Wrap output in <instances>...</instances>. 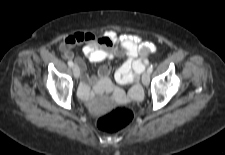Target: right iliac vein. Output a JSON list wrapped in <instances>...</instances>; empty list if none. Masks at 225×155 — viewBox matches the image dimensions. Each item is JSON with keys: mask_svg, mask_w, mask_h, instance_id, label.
Instances as JSON below:
<instances>
[{"mask_svg": "<svg viewBox=\"0 0 225 155\" xmlns=\"http://www.w3.org/2000/svg\"><path fill=\"white\" fill-rule=\"evenodd\" d=\"M73 74L75 78H79L80 76V69L78 66H73Z\"/></svg>", "mask_w": 225, "mask_h": 155, "instance_id": "1", "label": "right iliac vein"}]
</instances>
